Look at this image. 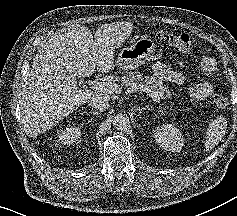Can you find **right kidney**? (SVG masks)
Instances as JSON below:
<instances>
[{"instance_id":"obj_1","label":"right kidney","mask_w":237,"mask_h":216,"mask_svg":"<svg viewBox=\"0 0 237 216\" xmlns=\"http://www.w3.org/2000/svg\"><path fill=\"white\" fill-rule=\"evenodd\" d=\"M76 132V131H75ZM79 138V135L78 133L76 132V137H75V140Z\"/></svg>"}]
</instances>
